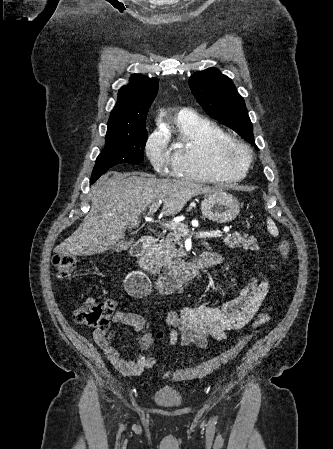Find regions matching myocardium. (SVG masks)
I'll use <instances>...</instances> for the list:
<instances>
[{
	"mask_svg": "<svg viewBox=\"0 0 333 449\" xmlns=\"http://www.w3.org/2000/svg\"><path fill=\"white\" fill-rule=\"evenodd\" d=\"M215 159L221 170L233 172L248 168L254 159V155L247 143L228 136L216 144Z\"/></svg>",
	"mask_w": 333,
	"mask_h": 449,
	"instance_id": "obj_1",
	"label": "myocardium"
}]
</instances>
